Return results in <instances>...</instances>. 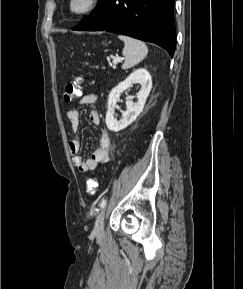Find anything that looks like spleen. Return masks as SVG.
<instances>
[{"label":"spleen","instance_id":"1","mask_svg":"<svg viewBox=\"0 0 243 289\" xmlns=\"http://www.w3.org/2000/svg\"><path fill=\"white\" fill-rule=\"evenodd\" d=\"M118 38L124 42L122 54L125 61L122 69H130L146 57L148 48L144 42L124 35H119Z\"/></svg>","mask_w":243,"mask_h":289}]
</instances>
